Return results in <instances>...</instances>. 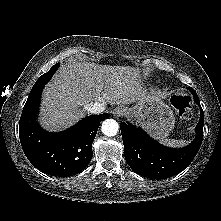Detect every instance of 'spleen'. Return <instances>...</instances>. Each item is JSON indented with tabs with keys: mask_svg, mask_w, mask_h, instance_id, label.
<instances>
[{
	"mask_svg": "<svg viewBox=\"0 0 221 221\" xmlns=\"http://www.w3.org/2000/svg\"><path fill=\"white\" fill-rule=\"evenodd\" d=\"M163 143L171 147H181L187 144L185 140L165 139Z\"/></svg>",
	"mask_w": 221,
	"mask_h": 221,
	"instance_id": "obj_1",
	"label": "spleen"
}]
</instances>
